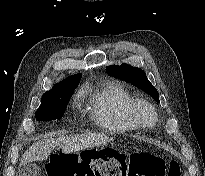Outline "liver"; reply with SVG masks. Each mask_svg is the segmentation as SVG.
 <instances>
[{"label": "liver", "instance_id": "6515ba94", "mask_svg": "<svg viewBox=\"0 0 205 176\" xmlns=\"http://www.w3.org/2000/svg\"><path fill=\"white\" fill-rule=\"evenodd\" d=\"M110 139L104 134H76L62 136L58 138L44 139L34 143L25 151L21 158L20 165L32 161H42L47 159L54 148L60 147L63 153L70 154L88 148L105 145Z\"/></svg>", "mask_w": 205, "mask_h": 176}]
</instances>
